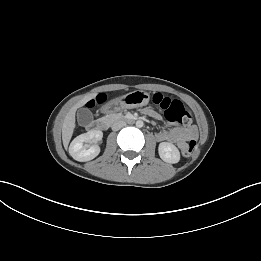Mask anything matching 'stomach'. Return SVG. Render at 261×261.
<instances>
[{"label": "stomach", "mask_w": 261, "mask_h": 261, "mask_svg": "<svg viewBox=\"0 0 261 261\" xmlns=\"http://www.w3.org/2000/svg\"><path fill=\"white\" fill-rule=\"evenodd\" d=\"M149 94L143 90H136L124 96L109 101L103 106L104 113H114L123 109L138 108L147 105Z\"/></svg>", "instance_id": "obj_1"}]
</instances>
